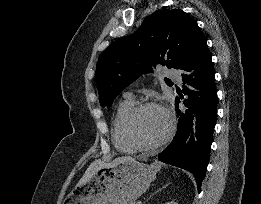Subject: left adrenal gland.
I'll use <instances>...</instances> for the list:
<instances>
[{
	"label": "left adrenal gland",
	"mask_w": 261,
	"mask_h": 204,
	"mask_svg": "<svg viewBox=\"0 0 261 204\" xmlns=\"http://www.w3.org/2000/svg\"><path fill=\"white\" fill-rule=\"evenodd\" d=\"M168 185H169V184L164 185L162 188H160V189H158L157 191H155L152 195H150V197L147 199V201H148L149 199H151V198L153 197V195H155L156 193L160 192L162 189L166 188Z\"/></svg>",
	"instance_id": "obj_1"
}]
</instances>
